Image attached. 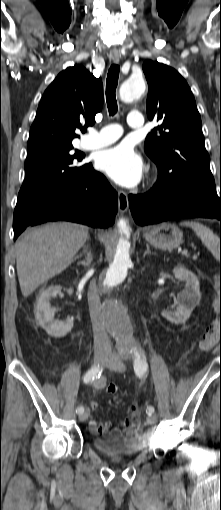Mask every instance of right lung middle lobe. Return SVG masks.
<instances>
[{
    "mask_svg": "<svg viewBox=\"0 0 221 510\" xmlns=\"http://www.w3.org/2000/svg\"><path fill=\"white\" fill-rule=\"evenodd\" d=\"M73 147H46L28 153L25 161V180L20 189L14 215L21 216L25 209L41 196L74 183L87 169L80 163L84 154Z\"/></svg>",
    "mask_w": 221,
    "mask_h": 510,
    "instance_id": "right-lung-middle-lobe-1",
    "label": "right lung middle lobe"
}]
</instances>
